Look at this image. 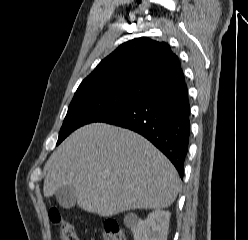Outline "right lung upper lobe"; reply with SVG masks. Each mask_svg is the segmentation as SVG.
Returning <instances> with one entry per match:
<instances>
[{
    "mask_svg": "<svg viewBox=\"0 0 248 240\" xmlns=\"http://www.w3.org/2000/svg\"><path fill=\"white\" fill-rule=\"evenodd\" d=\"M184 82L179 58L170 46L141 37L103 59L78 89L110 88L142 98Z\"/></svg>",
    "mask_w": 248,
    "mask_h": 240,
    "instance_id": "cb5924a9",
    "label": "right lung upper lobe"
}]
</instances>
